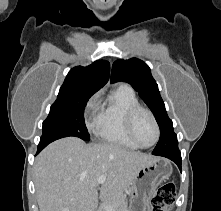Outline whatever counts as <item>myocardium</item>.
<instances>
[{
    "mask_svg": "<svg viewBox=\"0 0 221 211\" xmlns=\"http://www.w3.org/2000/svg\"><path fill=\"white\" fill-rule=\"evenodd\" d=\"M141 113L148 114L154 124V127H155L156 137H155L154 142L150 145H143L142 143L139 142V140L137 139V137L135 135V122H136L138 115ZM125 128H126V132H127L128 137L130 138V140L135 145H137L139 148H145V149L151 148V147L155 146L159 141L160 127H159L158 121L151 110H149L148 108H145L141 105L134 106L127 111L126 116H125Z\"/></svg>",
    "mask_w": 221,
    "mask_h": 211,
    "instance_id": "obj_1",
    "label": "myocardium"
}]
</instances>
